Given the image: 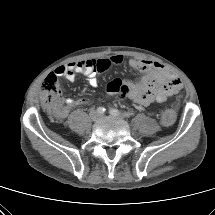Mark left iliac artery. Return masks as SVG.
I'll return each instance as SVG.
<instances>
[{
    "instance_id": "obj_1",
    "label": "left iliac artery",
    "mask_w": 215,
    "mask_h": 215,
    "mask_svg": "<svg viewBox=\"0 0 215 215\" xmlns=\"http://www.w3.org/2000/svg\"><path fill=\"white\" fill-rule=\"evenodd\" d=\"M110 114L113 116L130 117L133 113L129 112L121 113L119 110L112 108L110 109Z\"/></svg>"
}]
</instances>
